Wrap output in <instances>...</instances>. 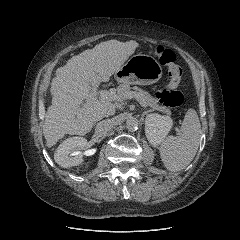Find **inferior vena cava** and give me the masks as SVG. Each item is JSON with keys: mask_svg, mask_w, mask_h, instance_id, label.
<instances>
[{"mask_svg": "<svg viewBox=\"0 0 240 240\" xmlns=\"http://www.w3.org/2000/svg\"><path fill=\"white\" fill-rule=\"evenodd\" d=\"M114 126H115L114 119H105L97 123L95 130L98 134H105L111 131Z\"/></svg>", "mask_w": 240, "mask_h": 240, "instance_id": "obj_1", "label": "inferior vena cava"}]
</instances>
